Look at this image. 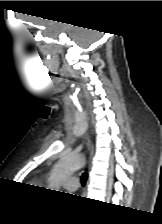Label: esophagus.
<instances>
[{"label": "esophagus", "instance_id": "34e87169", "mask_svg": "<svg viewBox=\"0 0 162 224\" xmlns=\"http://www.w3.org/2000/svg\"><path fill=\"white\" fill-rule=\"evenodd\" d=\"M90 155H89V161H88V167H89V170L91 169V166H92V158H93V146L92 144H90ZM89 180L87 181V184H88Z\"/></svg>", "mask_w": 162, "mask_h": 224}]
</instances>
